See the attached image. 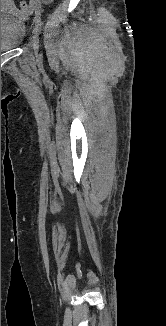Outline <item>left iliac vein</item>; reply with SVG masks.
Listing matches in <instances>:
<instances>
[{"instance_id": "left-iliac-vein-1", "label": "left iliac vein", "mask_w": 166, "mask_h": 326, "mask_svg": "<svg viewBox=\"0 0 166 326\" xmlns=\"http://www.w3.org/2000/svg\"><path fill=\"white\" fill-rule=\"evenodd\" d=\"M32 44H33V48H34V51H35L36 55L40 56V53H39V37H38V30H37L36 26L33 28Z\"/></svg>"}]
</instances>
